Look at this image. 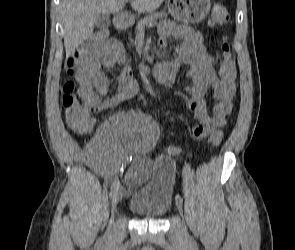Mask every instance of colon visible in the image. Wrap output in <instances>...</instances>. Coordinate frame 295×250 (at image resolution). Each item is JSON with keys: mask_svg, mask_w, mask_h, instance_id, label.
<instances>
[{"mask_svg": "<svg viewBox=\"0 0 295 250\" xmlns=\"http://www.w3.org/2000/svg\"><path fill=\"white\" fill-rule=\"evenodd\" d=\"M229 13L227 8L221 3H215L211 10L210 23L215 27H223L228 23ZM108 41L106 31L96 32L88 43L77 50L74 54H84L86 52L101 51ZM222 61L219 75L226 83H235L236 63L233 58L228 37L223 36L221 41ZM62 104L65 111V118L68 125L77 132H89L94 126L93 115L98 113L94 106H88L80 102L77 97V85L73 80H67L62 86Z\"/></svg>", "mask_w": 295, "mask_h": 250, "instance_id": "obj_1", "label": "colon"}]
</instances>
